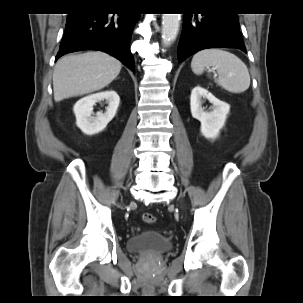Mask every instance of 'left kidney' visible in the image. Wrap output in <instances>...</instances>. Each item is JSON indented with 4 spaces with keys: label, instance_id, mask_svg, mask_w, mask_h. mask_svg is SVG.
<instances>
[{
    "label": "left kidney",
    "instance_id": "1",
    "mask_svg": "<svg viewBox=\"0 0 303 303\" xmlns=\"http://www.w3.org/2000/svg\"><path fill=\"white\" fill-rule=\"evenodd\" d=\"M202 98L208 99L212 104V111H204ZM190 109L192 117L201 122L202 135L207 139H216L225 124L230 106L198 85L191 92Z\"/></svg>",
    "mask_w": 303,
    "mask_h": 303
}]
</instances>
